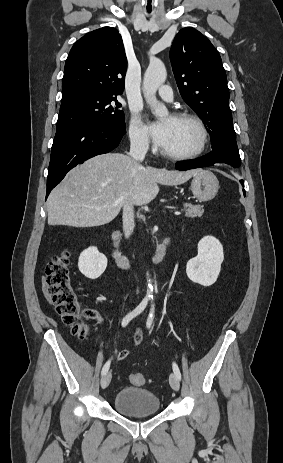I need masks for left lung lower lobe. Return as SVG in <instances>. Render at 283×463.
I'll return each instance as SVG.
<instances>
[{
  "mask_svg": "<svg viewBox=\"0 0 283 463\" xmlns=\"http://www.w3.org/2000/svg\"><path fill=\"white\" fill-rule=\"evenodd\" d=\"M214 163H226L233 167H239L241 165V161H237L224 153L217 152V151H211L210 153L196 160L177 162L176 169L188 170V169L212 166ZM240 182L244 186V181L240 180ZM243 192L245 195V190H243Z\"/></svg>",
  "mask_w": 283,
  "mask_h": 463,
  "instance_id": "obj_1",
  "label": "left lung lower lobe"
}]
</instances>
